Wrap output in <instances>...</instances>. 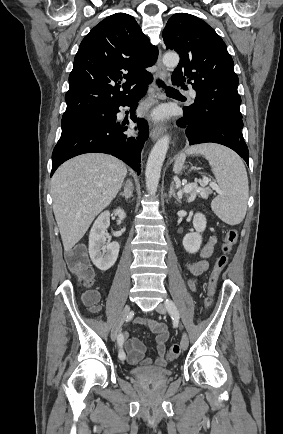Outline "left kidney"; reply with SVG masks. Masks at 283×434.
<instances>
[{"label":"left kidney","mask_w":283,"mask_h":434,"mask_svg":"<svg viewBox=\"0 0 283 434\" xmlns=\"http://www.w3.org/2000/svg\"><path fill=\"white\" fill-rule=\"evenodd\" d=\"M206 218L202 213H196L193 218L195 232L188 233L183 238L184 249L191 254L198 252L202 244L201 233L206 228Z\"/></svg>","instance_id":"left-kidney-1"}]
</instances>
